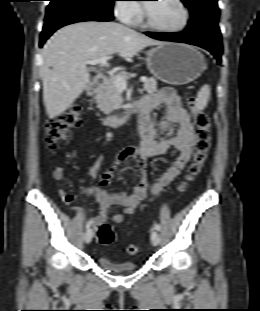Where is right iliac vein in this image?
<instances>
[{"mask_svg": "<svg viewBox=\"0 0 260 311\" xmlns=\"http://www.w3.org/2000/svg\"><path fill=\"white\" fill-rule=\"evenodd\" d=\"M93 237V233L91 229H88L84 235V241L88 244L91 242Z\"/></svg>", "mask_w": 260, "mask_h": 311, "instance_id": "63e3f726", "label": "right iliac vein"}]
</instances>
